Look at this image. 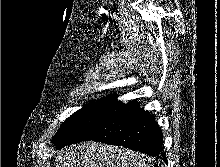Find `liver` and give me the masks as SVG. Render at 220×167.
Segmentation results:
<instances>
[{"label":"liver","instance_id":"6515ba94","mask_svg":"<svg viewBox=\"0 0 220 167\" xmlns=\"http://www.w3.org/2000/svg\"><path fill=\"white\" fill-rule=\"evenodd\" d=\"M55 162V167H148L144 154L98 142L67 146Z\"/></svg>","mask_w":220,"mask_h":167}]
</instances>
